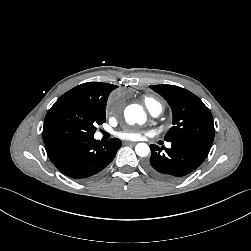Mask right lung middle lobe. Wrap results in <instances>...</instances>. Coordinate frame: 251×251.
<instances>
[{
	"mask_svg": "<svg viewBox=\"0 0 251 251\" xmlns=\"http://www.w3.org/2000/svg\"><path fill=\"white\" fill-rule=\"evenodd\" d=\"M105 107L76 99H58L44 120V143L94 136L96 126L106 120Z\"/></svg>",
	"mask_w": 251,
	"mask_h": 251,
	"instance_id": "obj_1",
	"label": "right lung middle lobe"
}]
</instances>
